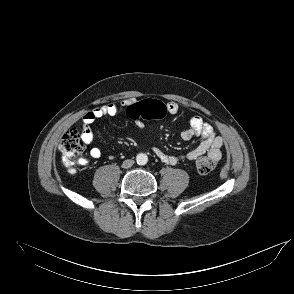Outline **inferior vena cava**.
<instances>
[{"mask_svg": "<svg viewBox=\"0 0 294 294\" xmlns=\"http://www.w3.org/2000/svg\"><path fill=\"white\" fill-rule=\"evenodd\" d=\"M133 164H134V160H132V159H127V160H125V161H123V163H122V168H130V167H132L133 166Z\"/></svg>", "mask_w": 294, "mask_h": 294, "instance_id": "obj_1", "label": "inferior vena cava"}]
</instances>
